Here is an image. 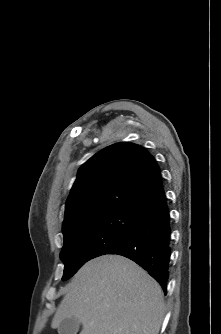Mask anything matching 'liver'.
<instances>
[{"label":"liver","instance_id":"1","mask_svg":"<svg viewBox=\"0 0 221 334\" xmlns=\"http://www.w3.org/2000/svg\"><path fill=\"white\" fill-rule=\"evenodd\" d=\"M165 304L160 285L132 260L103 255L88 261L67 286L51 323L74 317L80 334H158Z\"/></svg>","mask_w":221,"mask_h":334}]
</instances>
